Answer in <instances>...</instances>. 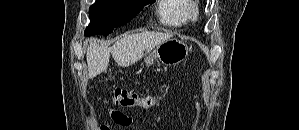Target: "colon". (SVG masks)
Instances as JSON below:
<instances>
[{
    "label": "colon",
    "mask_w": 299,
    "mask_h": 130,
    "mask_svg": "<svg viewBox=\"0 0 299 130\" xmlns=\"http://www.w3.org/2000/svg\"><path fill=\"white\" fill-rule=\"evenodd\" d=\"M110 93L114 104L121 107L139 106L145 109H149L157 106L161 100L159 97L153 96L141 97L133 92L121 88L110 90Z\"/></svg>",
    "instance_id": "5ec220e1"
}]
</instances>
